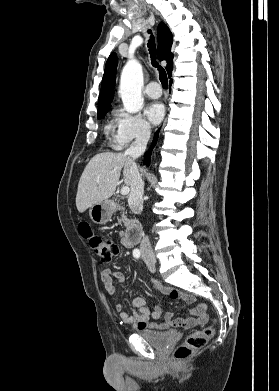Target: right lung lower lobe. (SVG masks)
I'll return each instance as SVG.
<instances>
[{"label": "right lung lower lobe", "mask_w": 279, "mask_h": 391, "mask_svg": "<svg viewBox=\"0 0 279 391\" xmlns=\"http://www.w3.org/2000/svg\"><path fill=\"white\" fill-rule=\"evenodd\" d=\"M170 82L172 83V80H170ZM157 138H158V133H156L155 137H154V140L151 144V147L150 149L144 154V164H146L147 166L150 164V156H151V152H152V149L154 148L155 144H156V141H157Z\"/></svg>", "instance_id": "1"}]
</instances>
